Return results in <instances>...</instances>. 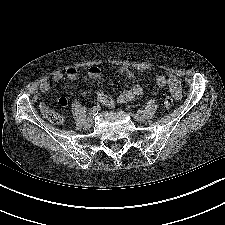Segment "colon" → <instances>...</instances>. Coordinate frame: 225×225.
Here are the masks:
<instances>
[{"label":"colon","mask_w":225,"mask_h":225,"mask_svg":"<svg viewBox=\"0 0 225 225\" xmlns=\"http://www.w3.org/2000/svg\"><path fill=\"white\" fill-rule=\"evenodd\" d=\"M173 100L171 97L167 96L164 99L163 107L165 110H169L172 107ZM47 119L53 124H61L64 121V116L56 111L49 110L46 113Z\"/></svg>","instance_id":"1"}]
</instances>
